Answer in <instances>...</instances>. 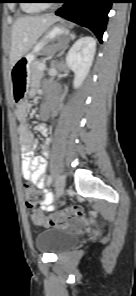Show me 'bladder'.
Segmentation results:
<instances>
[{
  "label": "bladder",
  "instance_id": "obj_1",
  "mask_svg": "<svg viewBox=\"0 0 136 296\" xmlns=\"http://www.w3.org/2000/svg\"><path fill=\"white\" fill-rule=\"evenodd\" d=\"M77 234L63 228H49L36 237V245L40 252L58 254L75 244Z\"/></svg>",
  "mask_w": 136,
  "mask_h": 296
}]
</instances>
